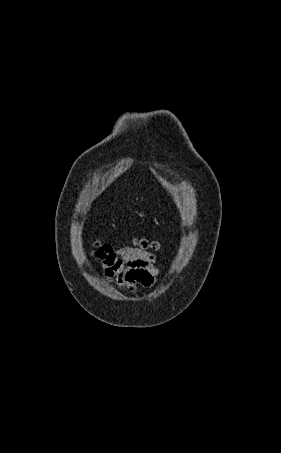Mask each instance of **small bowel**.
<instances>
[{"label": "small bowel", "instance_id": "obj_1", "mask_svg": "<svg viewBox=\"0 0 281 453\" xmlns=\"http://www.w3.org/2000/svg\"><path fill=\"white\" fill-rule=\"evenodd\" d=\"M100 272L108 282L134 293L142 286L151 287L161 269L152 253L118 247L104 251Z\"/></svg>", "mask_w": 281, "mask_h": 453}]
</instances>
